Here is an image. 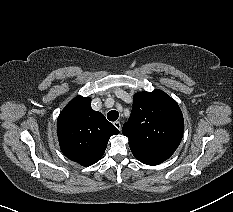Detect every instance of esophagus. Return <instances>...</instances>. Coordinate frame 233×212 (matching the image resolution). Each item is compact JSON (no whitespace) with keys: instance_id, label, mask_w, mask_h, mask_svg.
<instances>
[{"instance_id":"esophagus-1","label":"esophagus","mask_w":233,"mask_h":212,"mask_svg":"<svg viewBox=\"0 0 233 212\" xmlns=\"http://www.w3.org/2000/svg\"><path fill=\"white\" fill-rule=\"evenodd\" d=\"M113 125H114L119 131H121V123H120L119 121H115V122L113 123Z\"/></svg>"}]
</instances>
